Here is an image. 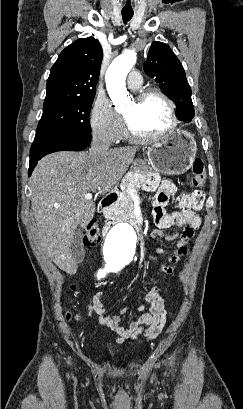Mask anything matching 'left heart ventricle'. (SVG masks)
Returning <instances> with one entry per match:
<instances>
[{
	"label": "left heart ventricle",
	"instance_id": "left-heart-ventricle-1",
	"mask_svg": "<svg viewBox=\"0 0 243 409\" xmlns=\"http://www.w3.org/2000/svg\"><path fill=\"white\" fill-rule=\"evenodd\" d=\"M133 130L142 135H154L164 131L170 124L166 104L152 96L143 102H132L123 111Z\"/></svg>",
	"mask_w": 243,
	"mask_h": 409
}]
</instances>
